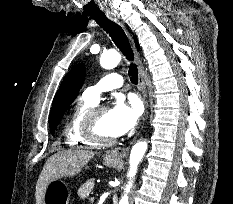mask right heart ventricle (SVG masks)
Returning <instances> with one entry per match:
<instances>
[{
  "label": "right heart ventricle",
  "mask_w": 233,
  "mask_h": 204,
  "mask_svg": "<svg viewBox=\"0 0 233 204\" xmlns=\"http://www.w3.org/2000/svg\"><path fill=\"white\" fill-rule=\"evenodd\" d=\"M93 106H95V103L85 97L80 98L74 105L66 119L64 127L65 141L68 146L86 147L95 145L86 139L82 132L84 116Z\"/></svg>",
  "instance_id": "right-heart-ventricle-1"
}]
</instances>
